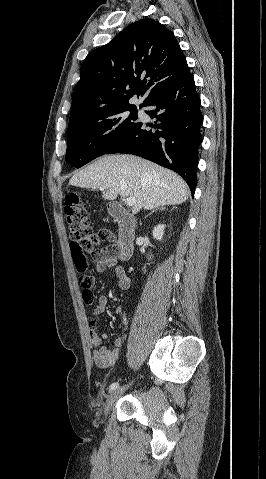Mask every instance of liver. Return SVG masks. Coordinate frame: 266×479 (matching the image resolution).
Returning a JSON list of instances; mask_svg holds the SVG:
<instances>
[{
    "mask_svg": "<svg viewBox=\"0 0 266 479\" xmlns=\"http://www.w3.org/2000/svg\"><path fill=\"white\" fill-rule=\"evenodd\" d=\"M69 185L104 188L102 197H134L133 212L178 205L189 197L185 181L175 172L133 155H105L76 173Z\"/></svg>",
    "mask_w": 266,
    "mask_h": 479,
    "instance_id": "obj_1",
    "label": "liver"
}]
</instances>
